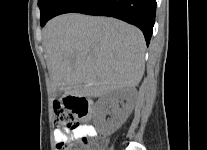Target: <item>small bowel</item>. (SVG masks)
<instances>
[{
    "mask_svg": "<svg viewBox=\"0 0 207 150\" xmlns=\"http://www.w3.org/2000/svg\"><path fill=\"white\" fill-rule=\"evenodd\" d=\"M53 135H54V140L57 143H59L63 140L68 139L69 136H71L74 139H80L84 137L86 138L94 137L96 135V131L94 127L85 125L72 130L68 128L56 129Z\"/></svg>",
    "mask_w": 207,
    "mask_h": 150,
    "instance_id": "c3829d8e",
    "label": "small bowel"
}]
</instances>
